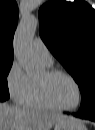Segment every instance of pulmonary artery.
Listing matches in <instances>:
<instances>
[{
    "label": "pulmonary artery",
    "instance_id": "1",
    "mask_svg": "<svg viewBox=\"0 0 95 130\" xmlns=\"http://www.w3.org/2000/svg\"><path fill=\"white\" fill-rule=\"evenodd\" d=\"M32 50L34 55L40 59L44 64L50 66L52 64L51 54L45 45V43L41 40L40 37H36L32 43Z\"/></svg>",
    "mask_w": 95,
    "mask_h": 130
}]
</instances>
